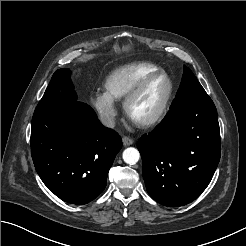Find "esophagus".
I'll return each mask as SVG.
<instances>
[{"label":"esophagus","mask_w":246,"mask_h":246,"mask_svg":"<svg viewBox=\"0 0 246 246\" xmlns=\"http://www.w3.org/2000/svg\"><path fill=\"white\" fill-rule=\"evenodd\" d=\"M122 141H123L124 146H130L134 143V140L132 138L126 137V136L122 138Z\"/></svg>","instance_id":"esophagus-1"}]
</instances>
